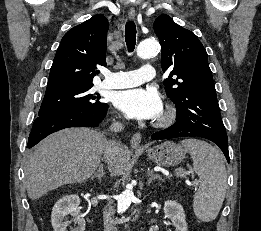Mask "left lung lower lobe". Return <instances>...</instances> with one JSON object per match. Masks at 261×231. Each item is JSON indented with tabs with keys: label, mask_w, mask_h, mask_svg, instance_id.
Instances as JSON below:
<instances>
[{
	"label": "left lung lower lobe",
	"mask_w": 261,
	"mask_h": 231,
	"mask_svg": "<svg viewBox=\"0 0 261 231\" xmlns=\"http://www.w3.org/2000/svg\"><path fill=\"white\" fill-rule=\"evenodd\" d=\"M176 137H201L206 138L214 143H216L221 150L223 151L227 161L229 162V152H228V141L225 139H216L212 138L199 130H197L195 127H192L191 125L185 123V122H176L171 127L156 132L152 135L153 140H162V139H169V138H176Z\"/></svg>",
	"instance_id": "1"
}]
</instances>
